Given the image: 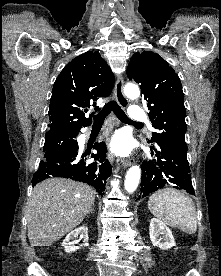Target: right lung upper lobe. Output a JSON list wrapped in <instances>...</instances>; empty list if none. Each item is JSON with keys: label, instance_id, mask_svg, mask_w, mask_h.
<instances>
[{"label": "right lung upper lobe", "instance_id": "cb5924a9", "mask_svg": "<svg viewBox=\"0 0 221 276\" xmlns=\"http://www.w3.org/2000/svg\"><path fill=\"white\" fill-rule=\"evenodd\" d=\"M114 75L98 52L75 57L58 75L49 105V131L46 135L77 134L91 124L85 117L87 107L100 97L110 95ZM96 110L99 108L96 106Z\"/></svg>", "mask_w": 221, "mask_h": 276}]
</instances>
